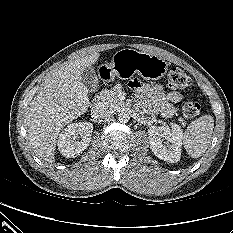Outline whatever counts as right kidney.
I'll return each mask as SVG.
<instances>
[{"label": "right kidney", "mask_w": 233, "mask_h": 233, "mask_svg": "<svg viewBox=\"0 0 233 233\" xmlns=\"http://www.w3.org/2000/svg\"><path fill=\"white\" fill-rule=\"evenodd\" d=\"M92 131L93 124L90 122L69 124L58 137L60 153L67 158L78 156L89 146Z\"/></svg>", "instance_id": "right-kidney-1"}]
</instances>
